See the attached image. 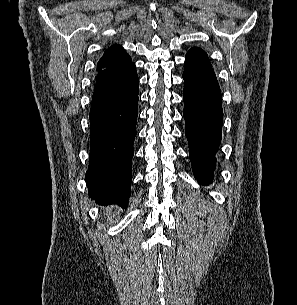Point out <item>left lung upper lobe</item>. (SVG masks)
Returning <instances> with one entry per match:
<instances>
[{"label":"left lung upper lobe","instance_id":"left-lung-upper-lobe-1","mask_svg":"<svg viewBox=\"0 0 297 305\" xmlns=\"http://www.w3.org/2000/svg\"><path fill=\"white\" fill-rule=\"evenodd\" d=\"M211 66L207 53L197 47L189 50L185 57L184 67H204Z\"/></svg>","mask_w":297,"mask_h":305}]
</instances>
